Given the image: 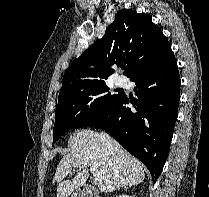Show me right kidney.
<instances>
[{
  "label": "right kidney",
  "instance_id": "ca27d5eb",
  "mask_svg": "<svg viewBox=\"0 0 209 197\" xmlns=\"http://www.w3.org/2000/svg\"><path fill=\"white\" fill-rule=\"evenodd\" d=\"M118 197H132L130 195H119Z\"/></svg>",
  "mask_w": 209,
  "mask_h": 197
}]
</instances>
